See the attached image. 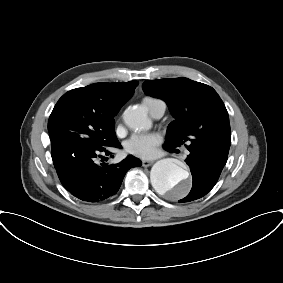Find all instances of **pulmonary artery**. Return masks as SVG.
I'll return each mask as SVG.
<instances>
[{
    "instance_id": "pulmonary-artery-1",
    "label": "pulmonary artery",
    "mask_w": 283,
    "mask_h": 283,
    "mask_svg": "<svg viewBox=\"0 0 283 283\" xmlns=\"http://www.w3.org/2000/svg\"><path fill=\"white\" fill-rule=\"evenodd\" d=\"M166 110V104L162 100H158L151 104L149 111L152 117L159 119L161 118Z\"/></svg>"
}]
</instances>
